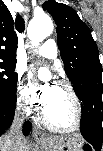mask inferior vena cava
Listing matches in <instances>:
<instances>
[{"label":"inferior vena cava","mask_w":103,"mask_h":151,"mask_svg":"<svg viewBox=\"0 0 103 151\" xmlns=\"http://www.w3.org/2000/svg\"><path fill=\"white\" fill-rule=\"evenodd\" d=\"M20 115H21V113L16 114L17 117L14 120L10 134H8V138H10V137L12 138L13 136H17L20 134V129L22 127V122H23V119L20 117Z\"/></svg>","instance_id":"1"}]
</instances>
